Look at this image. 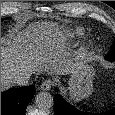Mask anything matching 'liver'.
I'll return each instance as SVG.
<instances>
[{
  "label": "liver",
  "mask_w": 115,
  "mask_h": 115,
  "mask_svg": "<svg viewBox=\"0 0 115 115\" xmlns=\"http://www.w3.org/2000/svg\"><path fill=\"white\" fill-rule=\"evenodd\" d=\"M82 63L69 58L62 38L52 33L47 23L19 33L13 41L1 44V91L13 85L20 72H37L49 67L58 75L71 74Z\"/></svg>",
  "instance_id": "obj_1"
}]
</instances>
